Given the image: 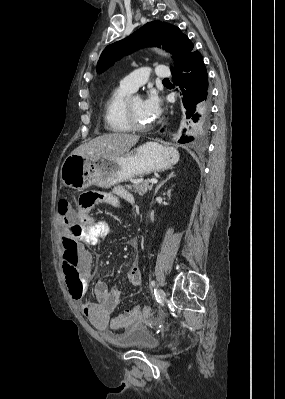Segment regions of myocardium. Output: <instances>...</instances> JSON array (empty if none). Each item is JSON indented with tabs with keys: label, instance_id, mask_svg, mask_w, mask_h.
Wrapping results in <instances>:
<instances>
[{
	"label": "myocardium",
	"instance_id": "obj_1",
	"mask_svg": "<svg viewBox=\"0 0 285 399\" xmlns=\"http://www.w3.org/2000/svg\"><path fill=\"white\" fill-rule=\"evenodd\" d=\"M125 114H126L127 123L129 125V127L131 128V130L144 131V130H147V129H149L151 127V123L143 125V124H139L135 120L133 112L131 110L130 101L126 102Z\"/></svg>",
	"mask_w": 285,
	"mask_h": 399
}]
</instances>
